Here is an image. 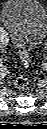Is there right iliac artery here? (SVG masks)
<instances>
[{
	"label": "right iliac artery",
	"mask_w": 47,
	"mask_h": 129,
	"mask_svg": "<svg viewBox=\"0 0 47 129\" xmlns=\"http://www.w3.org/2000/svg\"><path fill=\"white\" fill-rule=\"evenodd\" d=\"M6 35L4 34V33H1V41H3L4 39H6V37H5Z\"/></svg>",
	"instance_id": "right-iliac-artery-1"
}]
</instances>
